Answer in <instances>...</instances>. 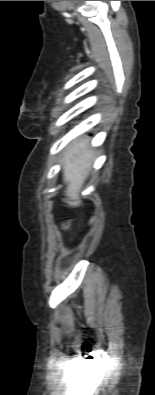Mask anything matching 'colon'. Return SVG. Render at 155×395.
Here are the masks:
<instances>
[{
  "instance_id": "1",
  "label": "colon",
  "mask_w": 155,
  "mask_h": 395,
  "mask_svg": "<svg viewBox=\"0 0 155 395\" xmlns=\"http://www.w3.org/2000/svg\"><path fill=\"white\" fill-rule=\"evenodd\" d=\"M69 227H70V224L68 222L64 223V228L65 229H69Z\"/></svg>"
}]
</instances>
